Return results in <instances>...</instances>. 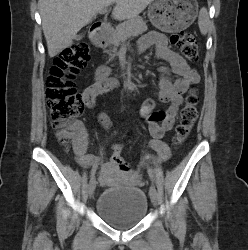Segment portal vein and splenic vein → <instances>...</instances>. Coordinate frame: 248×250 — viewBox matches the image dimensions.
Here are the masks:
<instances>
[{
  "mask_svg": "<svg viewBox=\"0 0 248 250\" xmlns=\"http://www.w3.org/2000/svg\"><path fill=\"white\" fill-rule=\"evenodd\" d=\"M107 9H101V10H99L98 12H99V14H105V13H107Z\"/></svg>",
  "mask_w": 248,
  "mask_h": 250,
  "instance_id": "18ae733b",
  "label": "portal vein and splenic vein"
}]
</instances>
